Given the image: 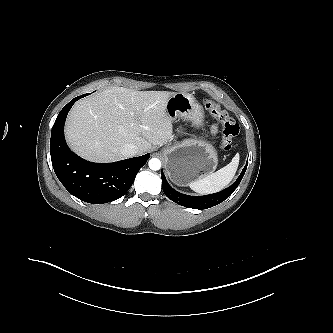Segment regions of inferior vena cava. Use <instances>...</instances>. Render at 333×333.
<instances>
[{"label":"inferior vena cava","instance_id":"602c4592","mask_svg":"<svg viewBox=\"0 0 333 333\" xmlns=\"http://www.w3.org/2000/svg\"><path fill=\"white\" fill-rule=\"evenodd\" d=\"M124 157H133L139 153V148L135 144H126L121 148Z\"/></svg>","mask_w":333,"mask_h":333}]
</instances>
